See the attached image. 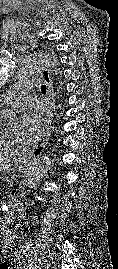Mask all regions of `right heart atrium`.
Returning a JSON list of instances; mask_svg holds the SVG:
<instances>
[{"label": "right heart atrium", "mask_w": 118, "mask_h": 269, "mask_svg": "<svg viewBox=\"0 0 118 269\" xmlns=\"http://www.w3.org/2000/svg\"><path fill=\"white\" fill-rule=\"evenodd\" d=\"M0 136L7 140L9 143H11L13 146L17 147L18 149L21 148L26 144V138L25 136L18 131H0Z\"/></svg>", "instance_id": "d8ad5b80"}]
</instances>
